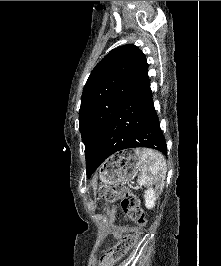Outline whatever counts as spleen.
<instances>
[{"instance_id": "1", "label": "spleen", "mask_w": 221, "mask_h": 266, "mask_svg": "<svg viewBox=\"0 0 221 266\" xmlns=\"http://www.w3.org/2000/svg\"><path fill=\"white\" fill-rule=\"evenodd\" d=\"M135 153L142 163V174L138 179L140 186L165 177L166 163L161 154L152 149H136Z\"/></svg>"}]
</instances>
